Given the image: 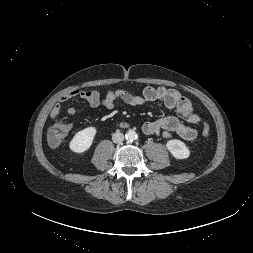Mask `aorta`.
<instances>
[{
    "label": "aorta",
    "instance_id": "obj_1",
    "mask_svg": "<svg viewBox=\"0 0 253 253\" xmlns=\"http://www.w3.org/2000/svg\"><path fill=\"white\" fill-rule=\"evenodd\" d=\"M125 138L128 141H134L137 139V133L134 130H129L126 134H125Z\"/></svg>",
    "mask_w": 253,
    "mask_h": 253
}]
</instances>
